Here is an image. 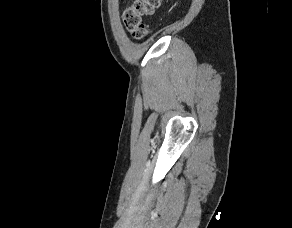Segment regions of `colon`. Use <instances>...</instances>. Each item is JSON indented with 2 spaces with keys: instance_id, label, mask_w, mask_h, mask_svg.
<instances>
[{
  "instance_id": "colon-1",
  "label": "colon",
  "mask_w": 292,
  "mask_h": 228,
  "mask_svg": "<svg viewBox=\"0 0 292 228\" xmlns=\"http://www.w3.org/2000/svg\"><path fill=\"white\" fill-rule=\"evenodd\" d=\"M161 0H135L123 13V22L126 29L135 39L144 38L147 27L143 24L142 18L151 16L160 6Z\"/></svg>"
}]
</instances>
